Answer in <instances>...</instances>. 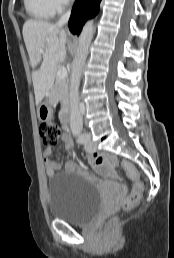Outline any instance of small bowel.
I'll return each mask as SVG.
<instances>
[{
	"instance_id": "obj_1",
	"label": "small bowel",
	"mask_w": 174,
	"mask_h": 258,
	"mask_svg": "<svg viewBox=\"0 0 174 258\" xmlns=\"http://www.w3.org/2000/svg\"><path fill=\"white\" fill-rule=\"evenodd\" d=\"M66 128V125H65ZM62 141L66 145V147L69 149L71 147V140L69 135L65 132L62 134ZM53 153V149L48 147L45 149V156L49 157ZM87 161L94 166L96 171L103 176H105L108 179H115V166L117 164V157L115 155H107L103 156L98 154L97 152H92L87 156ZM45 168L46 173L49 177H52L60 168L61 164L58 161H53L50 159L45 160ZM66 171L67 172H82L83 170L74 162L69 161L66 164ZM100 174H95V178H92L94 182H96V179H100Z\"/></svg>"
}]
</instances>
